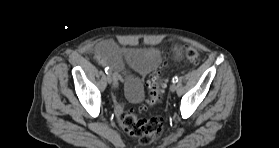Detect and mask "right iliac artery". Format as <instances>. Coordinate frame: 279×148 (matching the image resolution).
Wrapping results in <instances>:
<instances>
[{
  "label": "right iliac artery",
  "mask_w": 279,
  "mask_h": 148,
  "mask_svg": "<svg viewBox=\"0 0 279 148\" xmlns=\"http://www.w3.org/2000/svg\"><path fill=\"white\" fill-rule=\"evenodd\" d=\"M105 73L106 74H111V71L109 70V68L107 67V68H105Z\"/></svg>",
  "instance_id": "right-iliac-artery-1"
}]
</instances>
